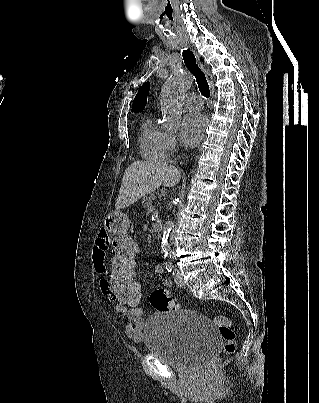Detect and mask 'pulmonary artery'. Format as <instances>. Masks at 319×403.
I'll return each mask as SVG.
<instances>
[{"label":"pulmonary artery","mask_w":319,"mask_h":403,"mask_svg":"<svg viewBox=\"0 0 319 403\" xmlns=\"http://www.w3.org/2000/svg\"><path fill=\"white\" fill-rule=\"evenodd\" d=\"M184 105L192 110L198 111L202 107V100L201 98L195 93H189L184 97Z\"/></svg>","instance_id":"obj_1"}]
</instances>
